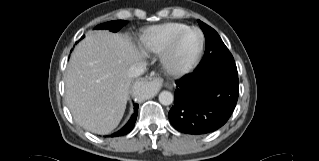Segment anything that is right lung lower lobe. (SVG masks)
<instances>
[{"label": "right lung lower lobe", "instance_id": "right-lung-lower-lobe-1", "mask_svg": "<svg viewBox=\"0 0 319 161\" xmlns=\"http://www.w3.org/2000/svg\"><path fill=\"white\" fill-rule=\"evenodd\" d=\"M137 114H138V104H135L134 105V114L132 115V117L130 118L128 123L121 130L112 134L111 136L112 137L122 136V135L129 133L134 127V124H135L136 118H137Z\"/></svg>", "mask_w": 319, "mask_h": 161}]
</instances>
